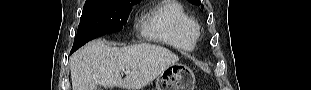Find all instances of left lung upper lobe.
I'll return each mask as SVG.
<instances>
[{
  "instance_id": "5c2ea615",
  "label": "left lung upper lobe",
  "mask_w": 311,
  "mask_h": 90,
  "mask_svg": "<svg viewBox=\"0 0 311 90\" xmlns=\"http://www.w3.org/2000/svg\"><path fill=\"white\" fill-rule=\"evenodd\" d=\"M190 3H192L193 5H200L201 1L200 0H189Z\"/></svg>"
}]
</instances>
